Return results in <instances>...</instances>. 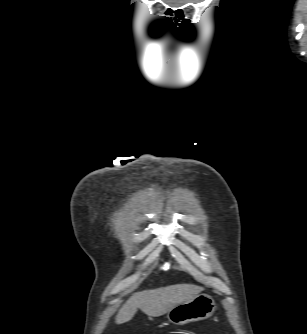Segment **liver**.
I'll return each mask as SVG.
<instances>
[{"label": "liver", "instance_id": "1", "mask_svg": "<svg viewBox=\"0 0 307 334\" xmlns=\"http://www.w3.org/2000/svg\"><path fill=\"white\" fill-rule=\"evenodd\" d=\"M202 290V287L196 285L177 284L134 293L119 309L115 322L123 324L130 321L137 309L148 316H161L176 305L197 296Z\"/></svg>", "mask_w": 307, "mask_h": 334}]
</instances>
